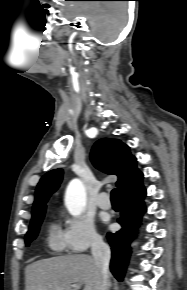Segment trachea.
<instances>
[{
    "label": "trachea",
    "mask_w": 187,
    "mask_h": 290,
    "mask_svg": "<svg viewBox=\"0 0 187 290\" xmlns=\"http://www.w3.org/2000/svg\"><path fill=\"white\" fill-rule=\"evenodd\" d=\"M111 201L118 202V193L116 189L111 191Z\"/></svg>",
    "instance_id": "1"
}]
</instances>
